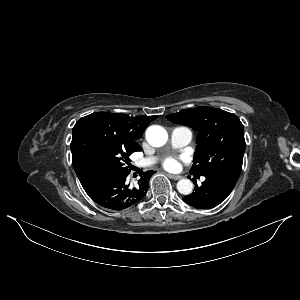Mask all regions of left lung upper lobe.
<instances>
[{
  "label": "left lung upper lobe",
  "mask_w": 300,
  "mask_h": 300,
  "mask_svg": "<svg viewBox=\"0 0 300 300\" xmlns=\"http://www.w3.org/2000/svg\"><path fill=\"white\" fill-rule=\"evenodd\" d=\"M166 118L198 131L191 174H223L238 180L245 151L244 127L239 118L211 107L184 109Z\"/></svg>",
  "instance_id": "1"
}]
</instances>
